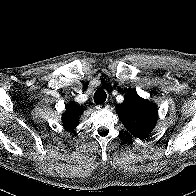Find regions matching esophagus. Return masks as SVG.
I'll return each instance as SVG.
<instances>
[{"label":"esophagus","mask_w":196,"mask_h":196,"mask_svg":"<svg viewBox=\"0 0 196 196\" xmlns=\"http://www.w3.org/2000/svg\"><path fill=\"white\" fill-rule=\"evenodd\" d=\"M108 107H109L108 104H97L96 105V108H98V109H104V108H108Z\"/></svg>","instance_id":"1"}]
</instances>
